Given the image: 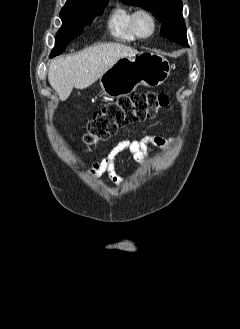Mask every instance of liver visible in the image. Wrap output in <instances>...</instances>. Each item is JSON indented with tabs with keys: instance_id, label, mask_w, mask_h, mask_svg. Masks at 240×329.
<instances>
[{
	"instance_id": "1",
	"label": "liver",
	"mask_w": 240,
	"mask_h": 329,
	"mask_svg": "<svg viewBox=\"0 0 240 329\" xmlns=\"http://www.w3.org/2000/svg\"><path fill=\"white\" fill-rule=\"evenodd\" d=\"M136 49L120 43H106L90 47L75 55L53 60L48 69V80L65 101L73 87L84 89L97 81L117 60L138 54Z\"/></svg>"
}]
</instances>
